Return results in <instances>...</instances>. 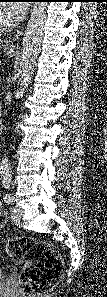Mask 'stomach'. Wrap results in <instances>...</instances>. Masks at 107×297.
<instances>
[{
  "mask_svg": "<svg viewBox=\"0 0 107 297\" xmlns=\"http://www.w3.org/2000/svg\"><path fill=\"white\" fill-rule=\"evenodd\" d=\"M14 51V49H4V53L8 56L13 55Z\"/></svg>",
  "mask_w": 107,
  "mask_h": 297,
  "instance_id": "obj_1",
  "label": "stomach"
}]
</instances>
